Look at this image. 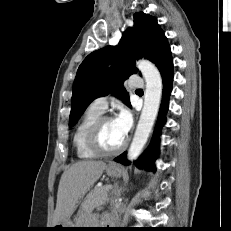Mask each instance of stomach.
I'll use <instances>...</instances> for the list:
<instances>
[{
	"instance_id": "1",
	"label": "stomach",
	"mask_w": 231,
	"mask_h": 231,
	"mask_svg": "<svg viewBox=\"0 0 231 231\" xmlns=\"http://www.w3.org/2000/svg\"><path fill=\"white\" fill-rule=\"evenodd\" d=\"M106 170V174L110 177H121L124 174V169L115 163H110L106 166L105 168ZM83 220L79 219L76 223L71 222L70 220L63 222V223H59L56 226H54L52 230L54 231H71V230H75V229H71V228H83Z\"/></svg>"
}]
</instances>
